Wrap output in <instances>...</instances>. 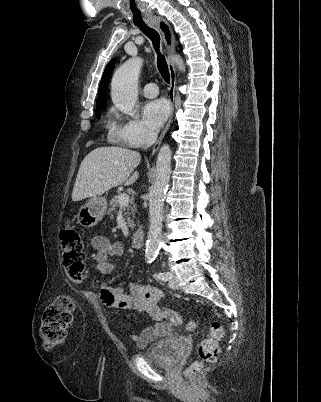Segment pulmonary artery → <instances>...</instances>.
Here are the masks:
<instances>
[{"label":"pulmonary artery","mask_w":321,"mask_h":402,"mask_svg":"<svg viewBox=\"0 0 321 402\" xmlns=\"http://www.w3.org/2000/svg\"><path fill=\"white\" fill-rule=\"evenodd\" d=\"M142 93L147 98H153L159 94V89L155 83H148L143 86Z\"/></svg>","instance_id":"obj_1"}]
</instances>
